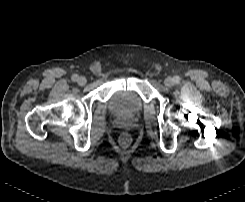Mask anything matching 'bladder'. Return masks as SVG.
Returning <instances> with one entry per match:
<instances>
[{
  "mask_svg": "<svg viewBox=\"0 0 245 202\" xmlns=\"http://www.w3.org/2000/svg\"><path fill=\"white\" fill-rule=\"evenodd\" d=\"M106 107L110 115L130 117L143 110L144 101L134 90L120 88L110 96Z\"/></svg>",
  "mask_w": 245,
  "mask_h": 202,
  "instance_id": "bladder-1",
  "label": "bladder"
}]
</instances>
